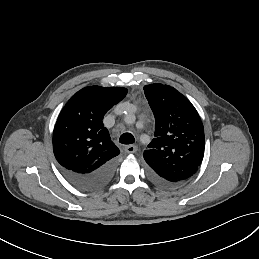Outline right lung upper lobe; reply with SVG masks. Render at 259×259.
Segmentation results:
<instances>
[{
	"label": "right lung upper lobe",
	"instance_id": "1",
	"mask_svg": "<svg viewBox=\"0 0 259 259\" xmlns=\"http://www.w3.org/2000/svg\"><path fill=\"white\" fill-rule=\"evenodd\" d=\"M126 94L123 87L89 86L70 98L53 134V152L63 168L92 172L119 155L102 120Z\"/></svg>",
	"mask_w": 259,
	"mask_h": 259
}]
</instances>
